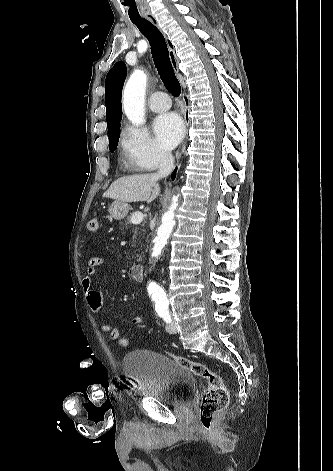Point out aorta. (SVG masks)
I'll return each instance as SVG.
<instances>
[{
    "mask_svg": "<svg viewBox=\"0 0 333 471\" xmlns=\"http://www.w3.org/2000/svg\"><path fill=\"white\" fill-rule=\"evenodd\" d=\"M147 83V75L143 70L136 69L131 74L124 88L122 102L123 109L127 118L134 125H142L144 119V102L145 90ZM178 196L172 198V203L167 212L161 219V225L157 229L156 236L153 238L151 257L158 258L163 248L167 244L168 238L175 225L174 210L176 209ZM149 294L155 302L156 308L164 309L168 307V299L166 292L156 283H150L148 286Z\"/></svg>",
    "mask_w": 333,
    "mask_h": 471,
    "instance_id": "aorta-1",
    "label": "aorta"
}]
</instances>
